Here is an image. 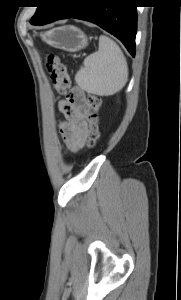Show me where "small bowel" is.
<instances>
[{"instance_id": "c3829d8e", "label": "small bowel", "mask_w": 181, "mask_h": 300, "mask_svg": "<svg viewBox=\"0 0 181 300\" xmlns=\"http://www.w3.org/2000/svg\"><path fill=\"white\" fill-rule=\"evenodd\" d=\"M65 102L66 101H62L60 103V108ZM86 112L87 107L83 104L80 108L75 109L72 117H67L68 120L61 123L63 142L69 151H77L84 142L87 131V123L85 120Z\"/></svg>"}]
</instances>
